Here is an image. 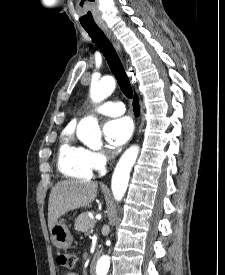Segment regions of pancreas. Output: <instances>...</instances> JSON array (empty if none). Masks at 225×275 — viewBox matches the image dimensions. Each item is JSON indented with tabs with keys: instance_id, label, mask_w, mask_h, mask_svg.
<instances>
[{
	"instance_id": "obj_1",
	"label": "pancreas",
	"mask_w": 225,
	"mask_h": 275,
	"mask_svg": "<svg viewBox=\"0 0 225 275\" xmlns=\"http://www.w3.org/2000/svg\"><path fill=\"white\" fill-rule=\"evenodd\" d=\"M94 220L83 212L75 220V230L83 233H88L94 227Z\"/></svg>"
}]
</instances>
